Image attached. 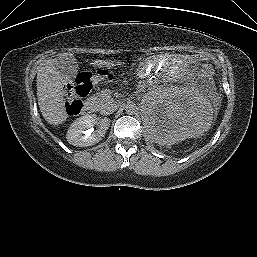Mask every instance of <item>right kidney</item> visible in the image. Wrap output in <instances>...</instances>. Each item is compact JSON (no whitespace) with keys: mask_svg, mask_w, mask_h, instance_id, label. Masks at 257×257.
Returning <instances> with one entry per match:
<instances>
[{"mask_svg":"<svg viewBox=\"0 0 257 257\" xmlns=\"http://www.w3.org/2000/svg\"><path fill=\"white\" fill-rule=\"evenodd\" d=\"M98 124L97 130L93 126ZM110 120L103 118L97 122L94 115H85L76 119L70 126L66 139L77 147L91 146L98 143L105 136Z\"/></svg>","mask_w":257,"mask_h":257,"instance_id":"obj_1","label":"right kidney"}]
</instances>
